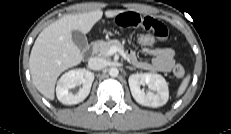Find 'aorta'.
I'll use <instances>...</instances> for the list:
<instances>
[{
    "label": "aorta",
    "instance_id": "762f6f07",
    "mask_svg": "<svg viewBox=\"0 0 231 134\" xmlns=\"http://www.w3.org/2000/svg\"><path fill=\"white\" fill-rule=\"evenodd\" d=\"M118 74H119V70L117 68L112 67V68L109 69V75L111 77H117Z\"/></svg>",
    "mask_w": 231,
    "mask_h": 134
}]
</instances>
